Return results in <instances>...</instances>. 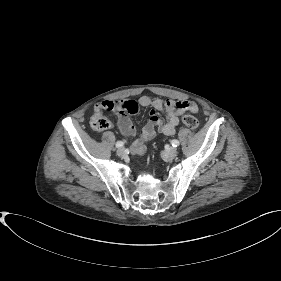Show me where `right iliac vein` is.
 Here are the masks:
<instances>
[{"label":"right iliac vein","instance_id":"obj_1","mask_svg":"<svg viewBox=\"0 0 281 281\" xmlns=\"http://www.w3.org/2000/svg\"><path fill=\"white\" fill-rule=\"evenodd\" d=\"M126 154L125 149L124 148H119L117 150V155L120 157H123Z\"/></svg>","mask_w":281,"mask_h":281}]
</instances>
